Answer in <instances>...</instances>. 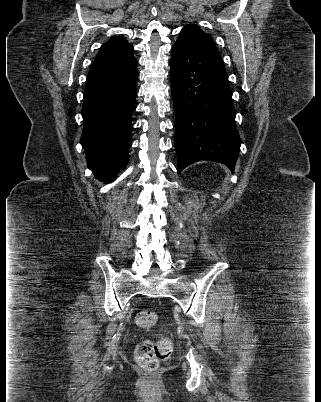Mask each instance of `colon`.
I'll return each mask as SVG.
<instances>
[{
    "label": "colon",
    "instance_id": "obj_1",
    "mask_svg": "<svg viewBox=\"0 0 321 402\" xmlns=\"http://www.w3.org/2000/svg\"><path fill=\"white\" fill-rule=\"evenodd\" d=\"M157 315L153 311L142 310L137 313L136 324L144 329H151L157 323ZM172 342L169 338L160 340H144L137 344L134 352L137 364L147 372L155 371L159 363L169 358Z\"/></svg>",
    "mask_w": 321,
    "mask_h": 402
}]
</instances>
